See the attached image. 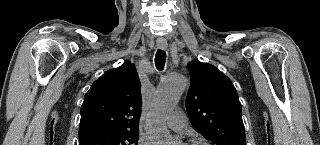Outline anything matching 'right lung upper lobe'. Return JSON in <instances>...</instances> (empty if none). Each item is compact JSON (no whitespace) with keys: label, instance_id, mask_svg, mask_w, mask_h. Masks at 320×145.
<instances>
[{"label":"right lung upper lobe","instance_id":"cb5924a9","mask_svg":"<svg viewBox=\"0 0 320 145\" xmlns=\"http://www.w3.org/2000/svg\"><path fill=\"white\" fill-rule=\"evenodd\" d=\"M140 86L131 62L104 73L85 95L79 136L101 131H139Z\"/></svg>","mask_w":320,"mask_h":145}]
</instances>
